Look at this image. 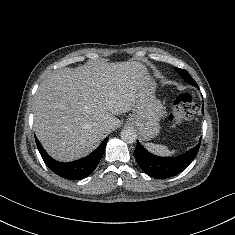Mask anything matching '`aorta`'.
<instances>
[{"mask_svg": "<svg viewBox=\"0 0 235 235\" xmlns=\"http://www.w3.org/2000/svg\"><path fill=\"white\" fill-rule=\"evenodd\" d=\"M136 138L137 134L135 130L131 128L123 129L121 131V139L128 144L134 143L136 141Z\"/></svg>", "mask_w": 235, "mask_h": 235, "instance_id": "1", "label": "aorta"}]
</instances>
